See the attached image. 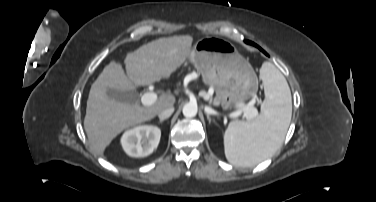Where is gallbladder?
Here are the masks:
<instances>
[{"mask_svg": "<svg viewBox=\"0 0 376 202\" xmlns=\"http://www.w3.org/2000/svg\"><path fill=\"white\" fill-rule=\"evenodd\" d=\"M107 95L109 98L114 99L118 102H128V101L135 99L136 91L135 90L120 91V90L108 88Z\"/></svg>", "mask_w": 376, "mask_h": 202, "instance_id": "1", "label": "gallbladder"}]
</instances>
